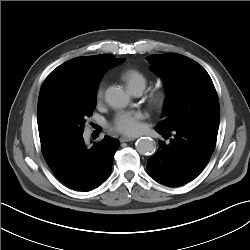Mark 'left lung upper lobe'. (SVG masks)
Here are the masks:
<instances>
[{
  "instance_id": "left-lung-upper-lobe-1",
  "label": "left lung upper lobe",
  "mask_w": 250,
  "mask_h": 250,
  "mask_svg": "<svg viewBox=\"0 0 250 250\" xmlns=\"http://www.w3.org/2000/svg\"><path fill=\"white\" fill-rule=\"evenodd\" d=\"M147 60L164 81L167 93L163 120L156 128L172 132L188 125L219 121L218 96L200 64L174 53L154 54Z\"/></svg>"
}]
</instances>
